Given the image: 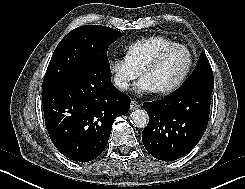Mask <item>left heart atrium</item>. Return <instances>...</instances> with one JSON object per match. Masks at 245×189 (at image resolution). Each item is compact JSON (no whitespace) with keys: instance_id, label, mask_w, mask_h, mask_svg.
<instances>
[{"instance_id":"left-heart-atrium-1","label":"left heart atrium","mask_w":245,"mask_h":189,"mask_svg":"<svg viewBox=\"0 0 245 189\" xmlns=\"http://www.w3.org/2000/svg\"><path fill=\"white\" fill-rule=\"evenodd\" d=\"M136 90L140 94L154 93L156 90L150 85V83L143 77L136 84Z\"/></svg>"}]
</instances>
